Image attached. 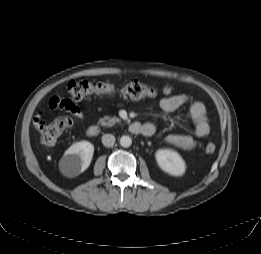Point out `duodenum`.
<instances>
[{
  "instance_id": "obj_1",
  "label": "duodenum",
  "mask_w": 261,
  "mask_h": 254,
  "mask_svg": "<svg viewBox=\"0 0 261 254\" xmlns=\"http://www.w3.org/2000/svg\"><path fill=\"white\" fill-rule=\"evenodd\" d=\"M129 129L131 132L135 134L148 135L150 131V127H145L141 125L139 122H133L130 124ZM100 127L97 125H91L86 129V135L88 137H96L100 134Z\"/></svg>"
}]
</instances>
